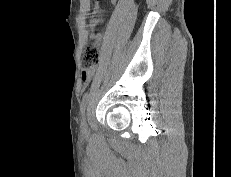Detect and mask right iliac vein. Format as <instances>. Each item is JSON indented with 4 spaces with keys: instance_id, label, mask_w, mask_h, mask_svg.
I'll return each instance as SVG.
<instances>
[{
    "instance_id": "1",
    "label": "right iliac vein",
    "mask_w": 231,
    "mask_h": 177,
    "mask_svg": "<svg viewBox=\"0 0 231 177\" xmlns=\"http://www.w3.org/2000/svg\"><path fill=\"white\" fill-rule=\"evenodd\" d=\"M81 128H82L83 132H86L87 124H86V116H85V114L82 117Z\"/></svg>"
}]
</instances>
